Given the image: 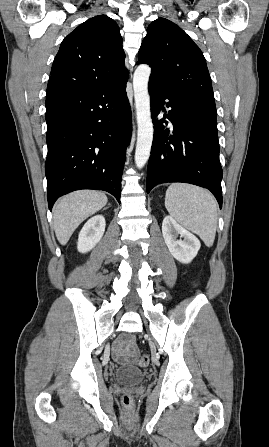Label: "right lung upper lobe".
<instances>
[{
    "instance_id": "right-lung-upper-lobe-1",
    "label": "right lung upper lobe",
    "mask_w": 269,
    "mask_h": 447,
    "mask_svg": "<svg viewBox=\"0 0 269 447\" xmlns=\"http://www.w3.org/2000/svg\"><path fill=\"white\" fill-rule=\"evenodd\" d=\"M124 58L116 22L106 15L95 16L62 41L52 65L47 94L95 88L128 75Z\"/></svg>"
}]
</instances>
